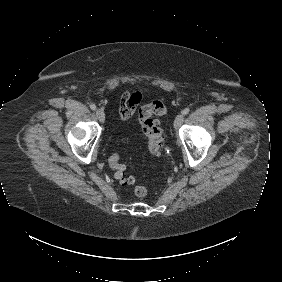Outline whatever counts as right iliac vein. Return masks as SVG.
Wrapping results in <instances>:
<instances>
[{
    "mask_svg": "<svg viewBox=\"0 0 282 282\" xmlns=\"http://www.w3.org/2000/svg\"><path fill=\"white\" fill-rule=\"evenodd\" d=\"M96 115H97V118L99 119L100 122L103 123L105 121V113L102 109H97Z\"/></svg>",
    "mask_w": 282,
    "mask_h": 282,
    "instance_id": "1",
    "label": "right iliac vein"
}]
</instances>
